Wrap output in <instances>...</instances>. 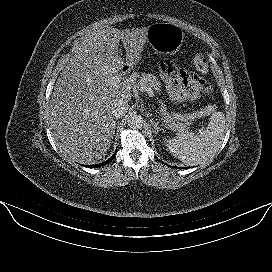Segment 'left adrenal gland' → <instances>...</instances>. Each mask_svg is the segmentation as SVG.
<instances>
[{
  "mask_svg": "<svg viewBox=\"0 0 272 272\" xmlns=\"http://www.w3.org/2000/svg\"><path fill=\"white\" fill-rule=\"evenodd\" d=\"M151 124H152V126L154 127L155 133H156V134H158L159 131L164 130V127H163L164 125H163V124H162V125H159V123L156 122V121L153 120V119H151Z\"/></svg>",
  "mask_w": 272,
  "mask_h": 272,
  "instance_id": "a2214340",
  "label": "left adrenal gland"
}]
</instances>
